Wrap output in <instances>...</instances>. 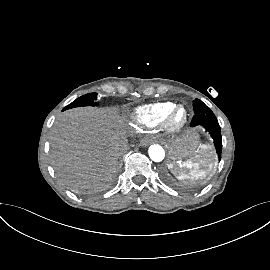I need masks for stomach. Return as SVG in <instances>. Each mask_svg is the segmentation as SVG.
I'll return each mask as SVG.
<instances>
[{"label":"stomach","instance_id":"obj_1","mask_svg":"<svg viewBox=\"0 0 270 270\" xmlns=\"http://www.w3.org/2000/svg\"><path fill=\"white\" fill-rule=\"evenodd\" d=\"M198 143V134L190 130L167 143L169 150L167 165L178 179H182L183 176L187 174V169L183 160L196 152Z\"/></svg>","mask_w":270,"mask_h":270}]
</instances>
